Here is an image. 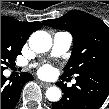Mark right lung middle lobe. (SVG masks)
<instances>
[{"label": "right lung middle lobe", "mask_w": 109, "mask_h": 109, "mask_svg": "<svg viewBox=\"0 0 109 109\" xmlns=\"http://www.w3.org/2000/svg\"><path fill=\"white\" fill-rule=\"evenodd\" d=\"M22 43L1 34V71L13 64L17 55L21 54Z\"/></svg>", "instance_id": "obj_1"}]
</instances>
